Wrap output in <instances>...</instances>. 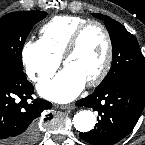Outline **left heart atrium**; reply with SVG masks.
I'll list each match as a JSON object with an SVG mask.
<instances>
[{
    "label": "left heart atrium",
    "mask_w": 145,
    "mask_h": 145,
    "mask_svg": "<svg viewBox=\"0 0 145 145\" xmlns=\"http://www.w3.org/2000/svg\"><path fill=\"white\" fill-rule=\"evenodd\" d=\"M85 84V80L72 68L64 67L53 79L41 82L38 91L47 99L65 103L74 99Z\"/></svg>",
    "instance_id": "obj_1"
}]
</instances>
